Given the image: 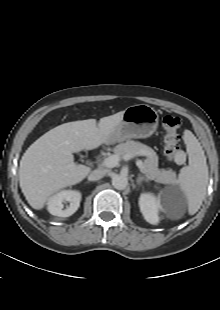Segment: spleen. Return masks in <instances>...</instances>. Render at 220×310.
Returning a JSON list of instances; mask_svg holds the SVG:
<instances>
[{
	"label": "spleen",
	"mask_w": 220,
	"mask_h": 310,
	"mask_svg": "<svg viewBox=\"0 0 220 310\" xmlns=\"http://www.w3.org/2000/svg\"><path fill=\"white\" fill-rule=\"evenodd\" d=\"M183 139L187 148L189 165L180 170L177 183L187 198L189 215H194L199 210L206 194L208 166L204 151L192 132L185 130Z\"/></svg>",
	"instance_id": "spleen-1"
}]
</instances>
